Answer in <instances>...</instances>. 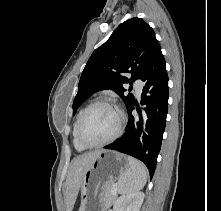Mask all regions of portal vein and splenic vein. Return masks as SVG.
<instances>
[{"mask_svg":"<svg viewBox=\"0 0 221 211\" xmlns=\"http://www.w3.org/2000/svg\"><path fill=\"white\" fill-rule=\"evenodd\" d=\"M117 191V186H115L113 189H112V193H116Z\"/></svg>","mask_w":221,"mask_h":211,"instance_id":"1","label":"portal vein and splenic vein"}]
</instances>
